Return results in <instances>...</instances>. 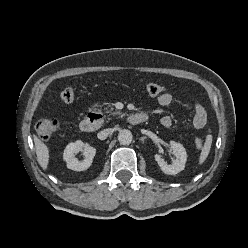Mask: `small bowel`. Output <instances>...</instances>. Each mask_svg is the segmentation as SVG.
Instances as JSON below:
<instances>
[{
    "mask_svg": "<svg viewBox=\"0 0 248 248\" xmlns=\"http://www.w3.org/2000/svg\"><path fill=\"white\" fill-rule=\"evenodd\" d=\"M158 103L161 106H168L171 104L173 97L170 93H163L158 97ZM208 119L207 109L201 102L194 103V116L192 119V125L196 129L203 128ZM161 124L164 127H171L173 120L170 116L166 115L161 118Z\"/></svg>",
    "mask_w": 248,
    "mask_h": 248,
    "instance_id": "c3829d8e",
    "label": "small bowel"
}]
</instances>
